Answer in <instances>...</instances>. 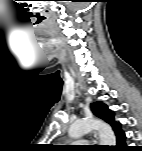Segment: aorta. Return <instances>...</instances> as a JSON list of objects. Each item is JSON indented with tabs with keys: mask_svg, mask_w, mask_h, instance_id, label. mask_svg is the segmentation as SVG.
I'll return each mask as SVG.
<instances>
[{
	"mask_svg": "<svg viewBox=\"0 0 142 151\" xmlns=\"http://www.w3.org/2000/svg\"><path fill=\"white\" fill-rule=\"evenodd\" d=\"M93 130L97 131L101 145H116V137L112 128L103 121L94 118L74 122L68 130V135L73 139H77Z\"/></svg>",
	"mask_w": 142,
	"mask_h": 151,
	"instance_id": "aorta-1",
	"label": "aorta"
}]
</instances>
